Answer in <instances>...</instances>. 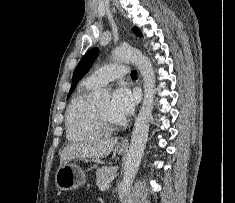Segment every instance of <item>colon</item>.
Listing matches in <instances>:
<instances>
[{"instance_id": "colon-1", "label": "colon", "mask_w": 235, "mask_h": 203, "mask_svg": "<svg viewBox=\"0 0 235 203\" xmlns=\"http://www.w3.org/2000/svg\"><path fill=\"white\" fill-rule=\"evenodd\" d=\"M62 203H72L71 201H66V202H62Z\"/></svg>"}]
</instances>
